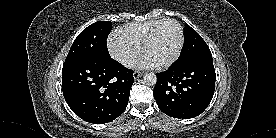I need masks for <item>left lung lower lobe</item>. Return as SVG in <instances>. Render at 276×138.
I'll use <instances>...</instances> for the list:
<instances>
[{"mask_svg": "<svg viewBox=\"0 0 276 138\" xmlns=\"http://www.w3.org/2000/svg\"><path fill=\"white\" fill-rule=\"evenodd\" d=\"M157 75L154 98L159 109L174 118L200 115L209 105L216 73L212 55H203L181 65H171Z\"/></svg>", "mask_w": 276, "mask_h": 138, "instance_id": "left-lung-lower-lobe-1", "label": "left lung lower lobe"}]
</instances>
